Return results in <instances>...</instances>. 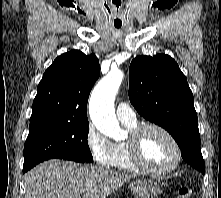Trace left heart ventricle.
<instances>
[{"label":"left heart ventricle","instance_id":"obj_1","mask_svg":"<svg viewBox=\"0 0 221 198\" xmlns=\"http://www.w3.org/2000/svg\"><path fill=\"white\" fill-rule=\"evenodd\" d=\"M142 157L147 165L164 169L175 161V150L170 140L157 130H148L142 138Z\"/></svg>","mask_w":221,"mask_h":198}]
</instances>
